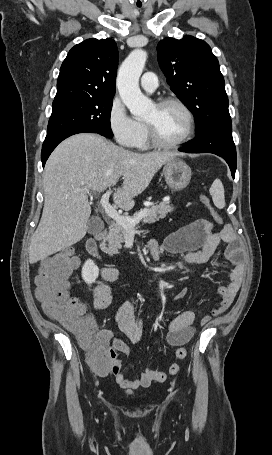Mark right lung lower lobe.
I'll use <instances>...</instances> for the list:
<instances>
[{
    "instance_id": "right-lung-lower-lobe-1",
    "label": "right lung lower lobe",
    "mask_w": 272,
    "mask_h": 455,
    "mask_svg": "<svg viewBox=\"0 0 272 455\" xmlns=\"http://www.w3.org/2000/svg\"><path fill=\"white\" fill-rule=\"evenodd\" d=\"M97 133L93 130H88V129H71V130H65L61 131L58 133L50 134L47 135L45 138V141L43 143L42 147V152H41V160H42V165H45L46 160L48 159L49 155L51 152L54 150V148L64 139L67 137L77 134V133Z\"/></svg>"
}]
</instances>
